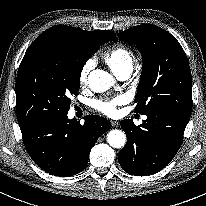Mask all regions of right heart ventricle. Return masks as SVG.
Returning a JSON list of instances; mask_svg holds the SVG:
<instances>
[{
	"instance_id": "e07e8e85",
	"label": "right heart ventricle",
	"mask_w": 206,
	"mask_h": 206,
	"mask_svg": "<svg viewBox=\"0 0 206 206\" xmlns=\"http://www.w3.org/2000/svg\"><path fill=\"white\" fill-rule=\"evenodd\" d=\"M104 60L116 75L125 68H133L135 55L129 47L116 45L104 54Z\"/></svg>"
}]
</instances>
